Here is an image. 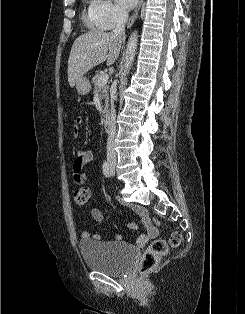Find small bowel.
<instances>
[{
	"label": "small bowel",
	"mask_w": 245,
	"mask_h": 314,
	"mask_svg": "<svg viewBox=\"0 0 245 314\" xmlns=\"http://www.w3.org/2000/svg\"><path fill=\"white\" fill-rule=\"evenodd\" d=\"M82 123V119L79 117L75 120V124L73 126V132L75 135L79 133V125ZM94 162V153L92 151L82 150L76 153L75 159L73 161L72 170H73V180L76 184H84L86 181V174L84 173V167L88 164ZM136 213H138L143 221V224L146 228V233L141 234L137 240V245L143 247L145 246L148 241L152 238H155L158 235V230L149 223L147 218V211L138 205H134L132 207ZM92 219L96 222H102L105 220L104 214L99 209H92L91 210ZM132 228H136L135 225H131ZM84 240L93 239L98 240L100 239L99 234H92L90 231H83L81 234ZM112 241L119 242L121 241L120 235H114L111 238Z\"/></svg>",
	"instance_id": "c3829d8e"
}]
</instances>
